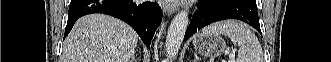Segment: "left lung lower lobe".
<instances>
[{"label": "left lung lower lobe", "instance_id": "obj_1", "mask_svg": "<svg viewBox=\"0 0 331 62\" xmlns=\"http://www.w3.org/2000/svg\"><path fill=\"white\" fill-rule=\"evenodd\" d=\"M225 19L242 20L261 32L256 0H200L199 11L191 20L184 40L206 25Z\"/></svg>", "mask_w": 331, "mask_h": 62}]
</instances>
